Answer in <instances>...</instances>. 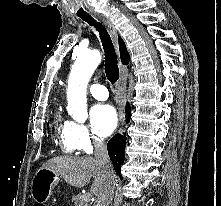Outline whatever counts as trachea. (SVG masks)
<instances>
[{
	"instance_id": "1",
	"label": "trachea",
	"mask_w": 221,
	"mask_h": 206,
	"mask_svg": "<svg viewBox=\"0 0 221 206\" xmlns=\"http://www.w3.org/2000/svg\"><path fill=\"white\" fill-rule=\"evenodd\" d=\"M81 19L89 25L94 26L99 32L105 55V73L108 81L115 84L119 78L118 61L115 49L106 28L100 22H96L90 15L81 16Z\"/></svg>"
}]
</instances>
